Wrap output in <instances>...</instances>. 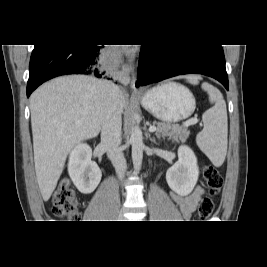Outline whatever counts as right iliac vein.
<instances>
[{
	"label": "right iliac vein",
	"instance_id": "1",
	"mask_svg": "<svg viewBox=\"0 0 267 267\" xmlns=\"http://www.w3.org/2000/svg\"><path fill=\"white\" fill-rule=\"evenodd\" d=\"M118 219H119V220H123V219H124V215H123V213H120V214H119Z\"/></svg>",
	"mask_w": 267,
	"mask_h": 267
}]
</instances>
